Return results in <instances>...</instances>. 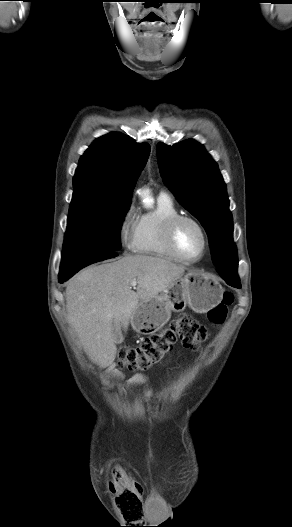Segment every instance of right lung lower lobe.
I'll return each mask as SVG.
<instances>
[{
    "label": "right lung lower lobe",
    "mask_w": 292,
    "mask_h": 527,
    "mask_svg": "<svg viewBox=\"0 0 292 527\" xmlns=\"http://www.w3.org/2000/svg\"><path fill=\"white\" fill-rule=\"evenodd\" d=\"M117 253L111 250H92L82 252L62 253L59 283H63L72 277L83 267L92 263L116 257Z\"/></svg>",
    "instance_id": "right-lung-lower-lobe-1"
}]
</instances>
